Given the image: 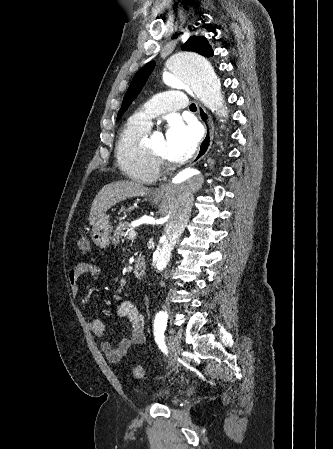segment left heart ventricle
<instances>
[{
	"instance_id": "b2bd125f",
	"label": "left heart ventricle",
	"mask_w": 333,
	"mask_h": 449,
	"mask_svg": "<svg viewBox=\"0 0 333 449\" xmlns=\"http://www.w3.org/2000/svg\"><path fill=\"white\" fill-rule=\"evenodd\" d=\"M150 149L153 150L156 154L166 157L167 156V148H166V139L164 137H159L150 145Z\"/></svg>"
}]
</instances>
